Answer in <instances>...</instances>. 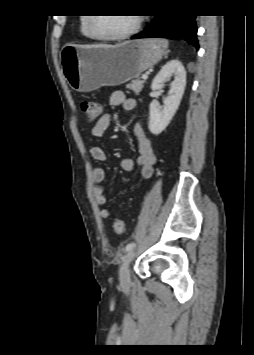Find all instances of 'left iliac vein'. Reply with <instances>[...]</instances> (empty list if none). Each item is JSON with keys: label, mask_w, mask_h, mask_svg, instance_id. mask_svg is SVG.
<instances>
[{"label": "left iliac vein", "mask_w": 254, "mask_h": 355, "mask_svg": "<svg viewBox=\"0 0 254 355\" xmlns=\"http://www.w3.org/2000/svg\"><path fill=\"white\" fill-rule=\"evenodd\" d=\"M135 256V251L130 250L124 257L122 266L119 272L121 285H127L130 282V264Z\"/></svg>", "instance_id": "4c4485c4"}]
</instances>
